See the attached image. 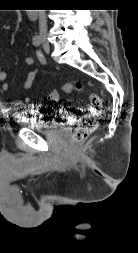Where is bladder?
<instances>
[{"mask_svg": "<svg viewBox=\"0 0 138 253\" xmlns=\"http://www.w3.org/2000/svg\"><path fill=\"white\" fill-rule=\"evenodd\" d=\"M41 108L43 109V107ZM36 109L37 107L33 106L31 110L20 111L18 113L20 124L40 133H48L59 127L58 123L47 119V114H49L50 111H36Z\"/></svg>", "mask_w": 138, "mask_h": 253, "instance_id": "31cf9c89", "label": "bladder"}]
</instances>
